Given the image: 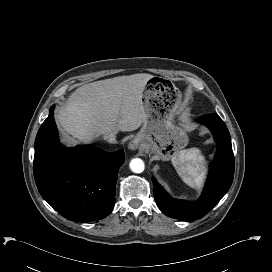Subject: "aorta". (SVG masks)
<instances>
[{
    "label": "aorta",
    "mask_w": 272,
    "mask_h": 272,
    "mask_svg": "<svg viewBox=\"0 0 272 272\" xmlns=\"http://www.w3.org/2000/svg\"><path fill=\"white\" fill-rule=\"evenodd\" d=\"M130 168L135 173H141L144 171L145 165L141 159L136 158L130 162Z\"/></svg>",
    "instance_id": "obj_1"
}]
</instances>
